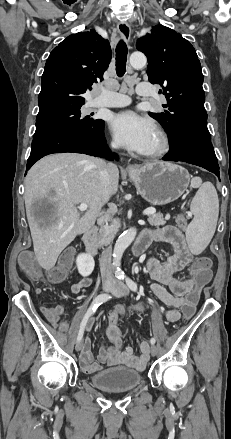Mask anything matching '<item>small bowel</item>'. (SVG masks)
<instances>
[{
	"mask_svg": "<svg viewBox=\"0 0 231 439\" xmlns=\"http://www.w3.org/2000/svg\"><path fill=\"white\" fill-rule=\"evenodd\" d=\"M141 238L146 239L149 244L152 241L164 243L172 249V253L164 262L154 257L147 260V270L153 280L151 289L155 296L169 309L166 311L168 322H176L181 317L179 305L182 303L188 289L194 287L195 282L192 278L180 279L176 273L183 270L192 260V253L188 248L183 233L175 226H166L154 231H145ZM93 280L90 277L82 278L79 282L71 286V293L78 294L83 288L89 287ZM138 312L145 310V303L139 302L132 306ZM51 322L54 326H59L62 330L68 329V324L64 319V307L62 305L52 308ZM92 322H89L86 329L90 330ZM106 338L109 345L103 346L98 355V362L94 361L91 351V343L85 339L82 352L80 354V366L86 373H96L102 369V364L108 366L125 365L127 367L143 370L147 361L148 344H140L141 354L136 356L131 347L123 349V340L118 326V317L115 312L108 314V325L106 327Z\"/></svg>",
	"mask_w": 231,
	"mask_h": 439,
	"instance_id": "c3829d8e",
	"label": "small bowel"
}]
</instances>
